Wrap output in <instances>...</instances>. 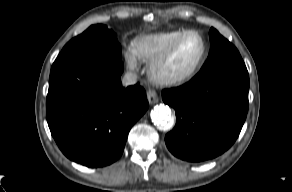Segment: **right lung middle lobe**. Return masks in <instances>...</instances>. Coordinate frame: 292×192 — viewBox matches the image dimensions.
Masks as SVG:
<instances>
[{
	"instance_id": "1",
	"label": "right lung middle lobe",
	"mask_w": 292,
	"mask_h": 192,
	"mask_svg": "<svg viewBox=\"0 0 292 192\" xmlns=\"http://www.w3.org/2000/svg\"><path fill=\"white\" fill-rule=\"evenodd\" d=\"M89 50H106L121 55V46L116 34L101 24L90 26L81 35L70 40L61 52Z\"/></svg>"
}]
</instances>
